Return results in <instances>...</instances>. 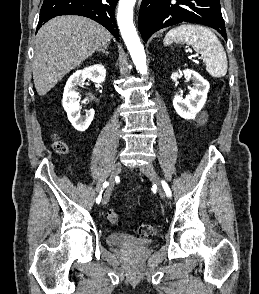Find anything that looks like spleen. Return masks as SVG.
Returning a JSON list of instances; mask_svg holds the SVG:
<instances>
[{
    "instance_id": "1",
    "label": "spleen",
    "mask_w": 259,
    "mask_h": 294,
    "mask_svg": "<svg viewBox=\"0 0 259 294\" xmlns=\"http://www.w3.org/2000/svg\"><path fill=\"white\" fill-rule=\"evenodd\" d=\"M164 45L186 43L202 55L207 72L215 78L226 75L228 68L227 56L216 35L208 28L184 24L171 29L164 38Z\"/></svg>"
}]
</instances>
